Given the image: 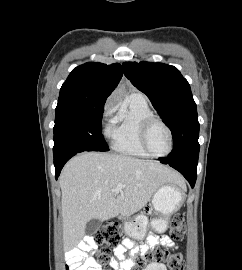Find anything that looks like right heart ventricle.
I'll list each match as a JSON object with an SVG mask.
<instances>
[{
    "label": "right heart ventricle",
    "mask_w": 242,
    "mask_h": 270,
    "mask_svg": "<svg viewBox=\"0 0 242 270\" xmlns=\"http://www.w3.org/2000/svg\"><path fill=\"white\" fill-rule=\"evenodd\" d=\"M152 115L145 98L136 94L128 96L119 105L109 129L113 149L124 155L148 158L140 143V128L142 122Z\"/></svg>",
    "instance_id": "1"
}]
</instances>
